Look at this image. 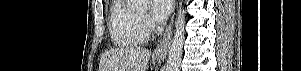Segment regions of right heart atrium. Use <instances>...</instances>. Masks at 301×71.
<instances>
[{
	"mask_svg": "<svg viewBox=\"0 0 301 71\" xmlns=\"http://www.w3.org/2000/svg\"><path fill=\"white\" fill-rule=\"evenodd\" d=\"M142 22L147 29H152L154 27L153 20L146 14L142 16Z\"/></svg>",
	"mask_w": 301,
	"mask_h": 71,
	"instance_id": "obj_1",
	"label": "right heart atrium"
}]
</instances>
